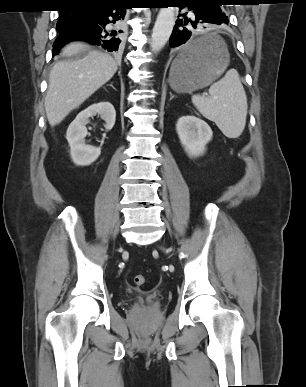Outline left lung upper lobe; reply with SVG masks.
<instances>
[{
  "label": "left lung upper lobe",
  "mask_w": 306,
  "mask_h": 387,
  "mask_svg": "<svg viewBox=\"0 0 306 387\" xmlns=\"http://www.w3.org/2000/svg\"><path fill=\"white\" fill-rule=\"evenodd\" d=\"M195 1H199V2H214L220 6H222V2H224V0H195ZM224 16L227 17L225 15V13L223 12Z\"/></svg>",
  "instance_id": "5c2ea615"
}]
</instances>
